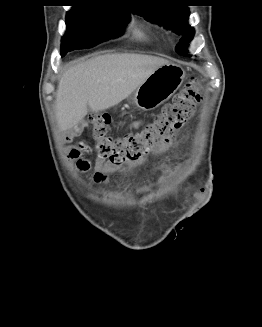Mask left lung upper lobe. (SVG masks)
Wrapping results in <instances>:
<instances>
[{"label":"left lung upper lobe","mask_w":262,"mask_h":327,"mask_svg":"<svg viewBox=\"0 0 262 327\" xmlns=\"http://www.w3.org/2000/svg\"><path fill=\"white\" fill-rule=\"evenodd\" d=\"M140 3L142 4L131 6L132 12L181 35L182 38L176 46V52L179 55L189 56L187 46L194 36V29L187 22L188 8L181 5H169L165 1L158 0H142Z\"/></svg>","instance_id":"obj_1"}]
</instances>
